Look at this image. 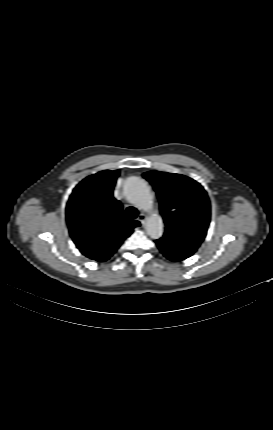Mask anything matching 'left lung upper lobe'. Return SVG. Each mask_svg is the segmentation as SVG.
Wrapping results in <instances>:
<instances>
[{"label":"left lung upper lobe","instance_id":"obj_1","mask_svg":"<svg viewBox=\"0 0 273 430\" xmlns=\"http://www.w3.org/2000/svg\"><path fill=\"white\" fill-rule=\"evenodd\" d=\"M156 190L166 230L155 240L163 255H193L204 240L210 222L206 191L195 180L180 174L150 171L143 174Z\"/></svg>","mask_w":273,"mask_h":430}]
</instances>
